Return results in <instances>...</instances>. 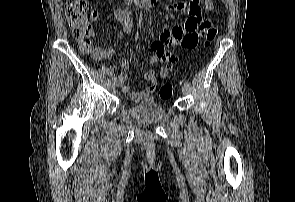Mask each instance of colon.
<instances>
[{
  "label": "colon",
  "mask_w": 295,
  "mask_h": 202,
  "mask_svg": "<svg viewBox=\"0 0 295 202\" xmlns=\"http://www.w3.org/2000/svg\"><path fill=\"white\" fill-rule=\"evenodd\" d=\"M67 24L78 40L79 47L84 52L91 51V45L88 38L92 35L91 24L87 16V4L85 0H67L64 6ZM217 27L213 22L206 26L205 46L215 39L217 35ZM147 65H156L155 52H150V56H146ZM146 75H155V70H146ZM158 79H148L149 90H158ZM172 86L165 84L159 89V97L168 100L172 96Z\"/></svg>",
  "instance_id": "5ec220e1"
}]
</instances>
